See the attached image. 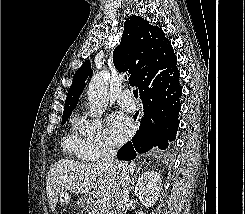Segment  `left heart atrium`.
<instances>
[{"label": "left heart atrium", "instance_id": "obj_1", "mask_svg": "<svg viewBox=\"0 0 245 214\" xmlns=\"http://www.w3.org/2000/svg\"><path fill=\"white\" fill-rule=\"evenodd\" d=\"M108 128L111 140L114 144H121L132 134L133 127L121 113H114L108 118Z\"/></svg>", "mask_w": 245, "mask_h": 214}]
</instances>
